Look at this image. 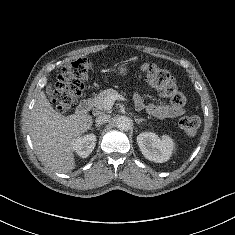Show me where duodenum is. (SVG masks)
<instances>
[{"label": "duodenum", "mask_w": 235, "mask_h": 235, "mask_svg": "<svg viewBox=\"0 0 235 235\" xmlns=\"http://www.w3.org/2000/svg\"><path fill=\"white\" fill-rule=\"evenodd\" d=\"M92 108V101L89 98L83 99L77 106V112L79 114H86Z\"/></svg>", "instance_id": "obj_1"}]
</instances>
